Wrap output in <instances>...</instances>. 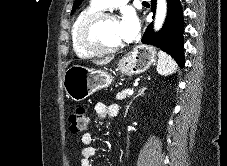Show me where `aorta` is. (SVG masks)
Here are the masks:
<instances>
[{"label":"aorta","mask_w":227,"mask_h":166,"mask_svg":"<svg viewBox=\"0 0 227 166\" xmlns=\"http://www.w3.org/2000/svg\"><path fill=\"white\" fill-rule=\"evenodd\" d=\"M166 14H167L166 0H157V9H156V16H155V23H154V29L156 31L162 27L166 18Z\"/></svg>","instance_id":"1"}]
</instances>
